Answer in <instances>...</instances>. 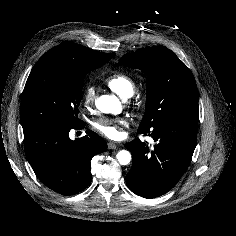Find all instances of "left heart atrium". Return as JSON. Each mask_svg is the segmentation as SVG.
<instances>
[{
	"label": "left heart atrium",
	"mask_w": 236,
	"mask_h": 236,
	"mask_svg": "<svg viewBox=\"0 0 236 236\" xmlns=\"http://www.w3.org/2000/svg\"><path fill=\"white\" fill-rule=\"evenodd\" d=\"M126 124L124 119L101 118L94 123V127L101 134L110 139H117L121 136V127Z\"/></svg>",
	"instance_id": "obj_1"
}]
</instances>
